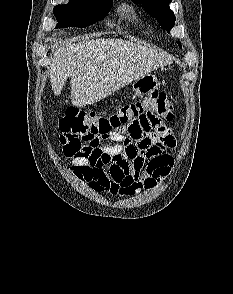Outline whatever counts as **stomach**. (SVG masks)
Returning a JSON list of instances; mask_svg holds the SVG:
<instances>
[{
    "label": "stomach",
    "instance_id": "1",
    "mask_svg": "<svg viewBox=\"0 0 233 294\" xmlns=\"http://www.w3.org/2000/svg\"><path fill=\"white\" fill-rule=\"evenodd\" d=\"M158 86L157 77L150 73L132 82V89L136 95H148L158 89Z\"/></svg>",
    "mask_w": 233,
    "mask_h": 294
}]
</instances>
